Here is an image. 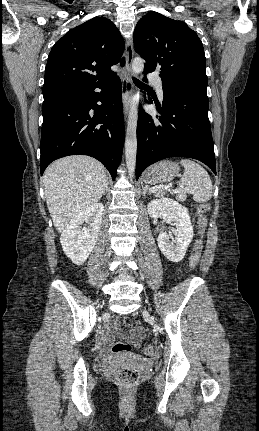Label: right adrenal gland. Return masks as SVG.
Segmentation results:
<instances>
[{
    "mask_svg": "<svg viewBox=\"0 0 259 431\" xmlns=\"http://www.w3.org/2000/svg\"><path fill=\"white\" fill-rule=\"evenodd\" d=\"M108 191V184H107V186H106V188H105V191H104V195H105V193Z\"/></svg>",
    "mask_w": 259,
    "mask_h": 431,
    "instance_id": "obj_1",
    "label": "right adrenal gland"
}]
</instances>
